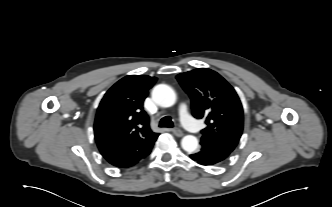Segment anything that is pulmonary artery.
Instances as JSON below:
<instances>
[{
    "instance_id": "1",
    "label": "pulmonary artery",
    "mask_w": 332,
    "mask_h": 207,
    "mask_svg": "<svg viewBox=\"0 0 332 207\" xmlns=\"http://www.w3.org/2000/svg\"><path fill=\"white\" fill-rule=\"evenodd\" d=\"M179 114H180L181 121L185 127H187L192 132L197 131L198 127L194 124V122L192 120H190L189 113H188V106L185 102L180 103Z\"/></svg>"
}]
</instances>
